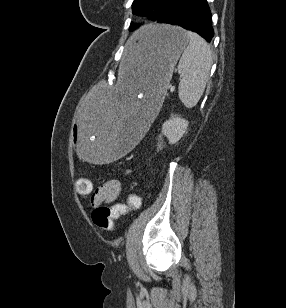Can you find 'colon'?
Wrapping results in <instances>:
<instances>
[{
  "label": "colon",
  "mask_w": 286,
  "mask_h": 308,
  "mask_svg": "<svg viewBox=\"0 0 286 308\" xmlns=\"http://www.w3.org/2000/svg\"><path fill=\"white\" fill-rule=\"evenodd\" d=\"M75 187L78 193L87 195L92 191V184L89 179L80 178L76 181ZM141 200L135 193L127 196L126 203L113 206H98L92 211L94 224L102 230L111 231L114 228V221L120 216L127 214L140 207Z\"/></svg>",
  "instance_id": "5ec220e1"
}]
</instances>
